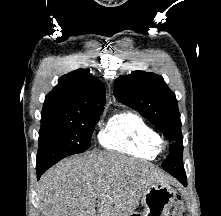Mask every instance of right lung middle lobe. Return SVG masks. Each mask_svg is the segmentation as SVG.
<instances>
[{
    "label": "right lung middle lobe",
    "mask_w": 221,
    "mask_h": 216,
    "mask_svg": "<svg viewBox=\"0 0 221 216\" xmlns=\"http://www.w3.org/2000/svg\"><path fill=\"white\" fill-rule=\"evenodd\" d=\"M102 112L77 116L68 121L41 124L37 166H52L61 159L84 152Z\"/></svg>",
    "instance_id": "1"
}]
</instances>
